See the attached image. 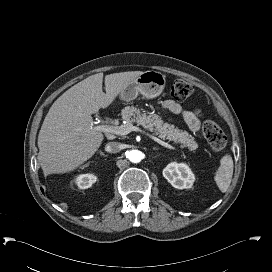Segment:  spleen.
I'll list each match as a JSON object with an SVG mask.
<instances>
[{
	"label": "spleen",
	"instance_id": "1",
	"mask_svg": "<svg viewBox=\"0 0 272 272\" xmlns=\"http://www.w3.org/2000/svg\"><path fill=\"white\" fill-rule=\"evenodd\" d=\"M233 166V160L230 155H225L221 159V165L215 175V181L222 192H225L230 186L233 175Z\"/></svg>",
	"mask_w": 272,
	"mask_h": 272
}]
</instances>
